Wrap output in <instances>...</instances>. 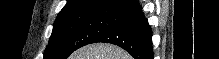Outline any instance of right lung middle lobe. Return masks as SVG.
Listing matches in <instances>:
<instances>
[{"label":"right lung middle lobe","instance_id":"right-lung-middle-lobe-1","mask_svg":"<svg viewBox=\"0 0 219 59\" xmlns=\"http://www.w3.org/2000/svg\"><path fill=\"white\" fill-rule=\"evenodd\" d=\"M125 15L91 10L59 17L44 51L43 59H66L73 51L93 43L100 35L121 23Z\"/></svg>","mask_w":219,"mask_h":59}]
</instances>
